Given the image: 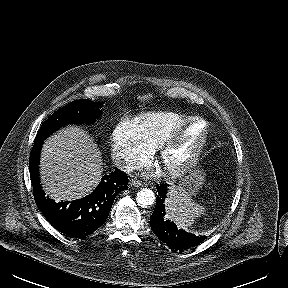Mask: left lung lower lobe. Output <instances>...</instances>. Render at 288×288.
<instances>
[{
  "label": "left lung lower lobe",
  "mask_w": 288,
  "mask_h": 288,
  "mask_svg": "<svg viewBox=\"0 0 288 288\" xmlns=\"http://www.w3.org/2000/svg\"><path fill=\"white\" fill-rule=\"evenodd\" d=\"M169 185L161 184L157 187L158 196L156 200L155 210L150 218V226L154 234L167 246L176 250H184L194 247L204 241L206 236H197L188 233L165 218L164 200Z\"/></svg>",
  "instance_id": "left-lung-lower-lobe-1"
}]
</instances>
